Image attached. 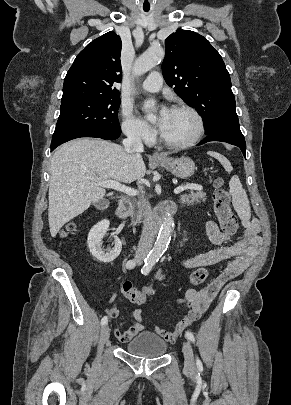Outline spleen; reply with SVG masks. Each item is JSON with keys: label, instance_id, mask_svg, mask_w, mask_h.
I'll list each match as a JSON object with an SVG mask.
<instances>
[{"label": "spleen", "instance_id": "spleen-1", "mask_svg": "<svg viewBox=\"0 0 291 405\" xmlns=\"http://www.w3.org/2000/svg\"><path fill=\"white\" fill-rule=\"evenodd\" d=\"M208 154L216 158L227 172H231L233 167L229 160L218 152H208ZM229 193L232 196V204L237 211L242 221L247 222L251 217L249 200L246 191L239 180L238 176H233L229 182Z\"/></svg>", "mask_w": 291, "mask_h": 405}]
</instances>
